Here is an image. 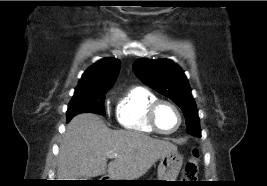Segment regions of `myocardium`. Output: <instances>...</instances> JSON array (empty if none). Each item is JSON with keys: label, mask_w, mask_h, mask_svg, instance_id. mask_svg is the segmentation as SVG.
Returning a JSON list of instances; mask_svg holds the SVG:
<instances>
[{"label": "myocardium", "mask_w": 267, "mask_h": 186, "mask_svg": "<svg viewBox=\"0 0 267 186\" xmlns=\"http://www.w3.org/2000/svg\"><path fill=\"white\" fill-rule=\"evenodd\" d=\"M162 104H167V105L171 106L176 111V113L178 115V124L171 131H163L162 129H160V127L157 124L156 112H157L158 107ZM147 121H148L149 125L151 126V128L156 133L161 134V135H171V134L176 133L180 129V127L182 126L183 114H182L181 109L178 107V105L176 103H174L170 100H167V99H156L148 107Z\"/></svg>", "instance_id": "myocardium-1"}]
</instances>
